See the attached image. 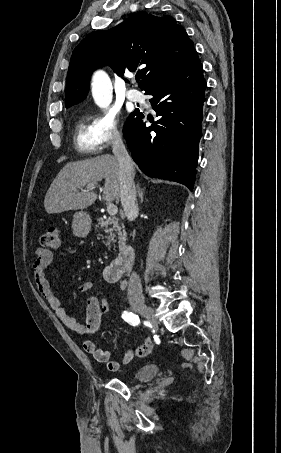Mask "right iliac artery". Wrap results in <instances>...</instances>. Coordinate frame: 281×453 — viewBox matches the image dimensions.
Listing matches in <instances>:
<instances>
[{"mask_svg": "<svg viewBox=\"0 0 281 453\" xmlns=\"http://www.w3.org/2000/svg\"><path fill=\"white\" fill-rule=\"evenodd\" d=\"M122 318L129 324L136 326L140 323L138 315L133 314L132 312L124 311Z\"/></svg>", "mask_w": 281, "mask_h": 453, "instance_id": "obj_1", "label": "right iliac artery"}]
</instances>
